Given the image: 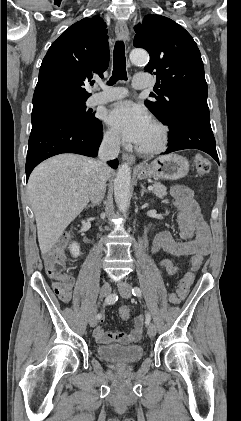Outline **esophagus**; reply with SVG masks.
I'll list each match as a JSON object with an SVG mask.
<instances>
[{"mask_svg": "<svg viewBox=\"0 0 241 421\" xmlns=\"http://www.w3.org/2000/svg\"><path fill=\"white\" fill-rule=\"evenodd\" d=\"M115 32L119 39L124 40L125 42L129 39V30L124 21H118L115 26ZM122 159L127 161L130 164H135V158L131 154L123 153Z\"/></svg>", "mask_w": 241, "mask_h": 421, "instance_id": "obj_1", "label": "esophagus"}]
</instances>
